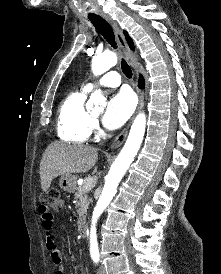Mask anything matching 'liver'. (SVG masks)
<instances>
[{"mask_svg":"<svg viewBox=\"0 0 221 274\" xmlns=\"http://www.w3.org/2000/svg\"><path fill=\"white\" fill-rule=\"evenodd\" d=\"M98 159L97 149L83 145L51 143L40 162L41 188L47 192L53 179L71 173L89 171ZM95 168L93 173H96Z\"/></svg>","mask_w":221,"mask_h":274,"instance_id":"obj_1","label":"liver"}]
</instances>
